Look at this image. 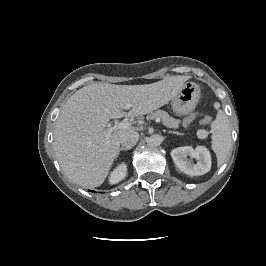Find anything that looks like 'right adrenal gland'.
Instances as JSON below:
<instances>
[{
    "label": "right adrenal gland",
    "mask_w": 266,
    "mask_h": 266,
    "mask_svg": "<svg viewBox=\"0 0 266 266\" xmlns=\"http://www.w3.org/2000/svg\"><path fill=\"white\" fill-rule=\"evenodd\" d=\"M129 149H127V148H124V147H121L120 149H119V151H118V155H119V153L121 152V151H128Z\"/></svg>",
    "instance_id": "right-adrenal-gland-1"
}]
</instances>
